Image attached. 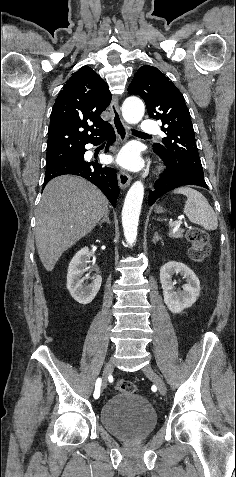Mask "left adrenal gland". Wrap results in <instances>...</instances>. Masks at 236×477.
Instances as JSON below:
<instances>
[{
	"label": "left adrenal gland",
	"mask_w": 236,
	"mask_h": 477,
	"mask_svg": "<svg viewBox=\"0 0 236 477\" xmlns=\"http://www.w3.org/2000/svg\"><path fill=\"white\" fill-rule=\"evenodd\" d=\"M159 240H161V237L158 235V232H155L152 241L156 244Z\"/></svg>",
	"instance_id": "a2214340"
}]
</instances>
